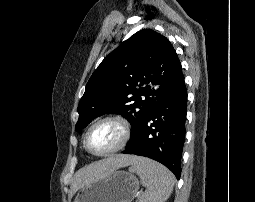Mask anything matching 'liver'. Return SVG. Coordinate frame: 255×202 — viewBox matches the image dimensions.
<instances>
[{
	"label": "liver",
	"mask_w": 255,
	"mask_h": 202,
	"mask_svg": "<svg viewBox=\"0 0 255 202\" xmlns=\"http://www.w3.org/2000/svg\"><path fill=\"white\" fill-rule=\"evenodd\" d=\"M138 157L132 155H113L106 159L90 164L76 172L71 185V192L75 193L83 185L105 177L109 173L133 164Z\"/></svg>",
	"instance_id": "liver-1"
}]
</instances>
